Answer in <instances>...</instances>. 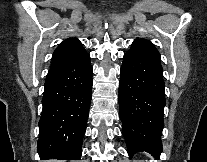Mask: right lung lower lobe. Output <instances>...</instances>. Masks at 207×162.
<instances>
[{
	"label": "right lung lower lobe",
	"instance_id": "1",
	"mask_svg": "<svg viewBox=\"0 0 207 162\" xmlns=\"http://www.w3.org/2000/svg\"><path fill=\"white\" fill-rule=\"evenodd\" d=\"M42 100L37 150L41 160H80L92 89L90 56L51 68Z\"/></svg>",
	"mask_w": 207,
	"mask_h": 162
}]
</instances>
